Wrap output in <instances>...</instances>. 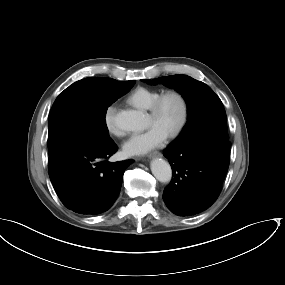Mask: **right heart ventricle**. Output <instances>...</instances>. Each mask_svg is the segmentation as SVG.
I'll return each instance as SVG.
<instances>
[{
  "instance_id": "obj_1",
  "label": "right heart ventricle",
  "mask_w": 285,
  "mask_h": 285,
  "mask_svg": "<svg viewBox=\"0 0 285 285\" xmlns=\"http://www.w3.org/2000/svg\"><path fill=\"white\" fill-rule=\"evenodd\" d=\"M160 94L159 90L137 87L128 95L127 102L138 109L147 110Z\"/></svg>"
}]
</instances>
